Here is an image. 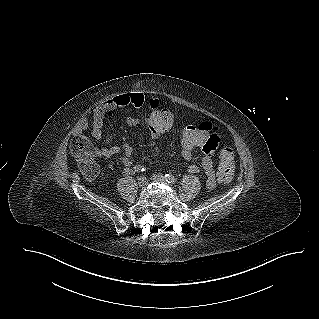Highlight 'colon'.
<instances>
[{"instance_id":"obj_1","label":"colon","mask_w":319,"mask_h":319,"mask_svg":"<svg viewBox=\"0 0 319 319\" xmlns=\"http://www.w3.org/2000/svg\"><path fill=\"white\" fill-rule=\"evenodd\" d=\"M175 125V116L171 113H149L147 118V127L154 134H164L172 130ZM221 128L217 123L210 119L199 116L194 124L182 127L177 134L180 141V150L187 155L195 151H204L203 145L209 140L210 135L215 129ZM71 152L79 162L80 169L84 177L88 180H94L99 172L96 163L98 149L85 137H76L71 142ZM219 172L224 180L232 178L235 163L234 154L231 148L224 147L220 154Z\"/></svg>"}]
</instances>
